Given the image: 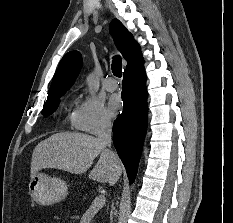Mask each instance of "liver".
<instances>
[{
    "label": "liver",
    "instance_id": "liver-1",
    "mask_svg": "<svg viewBox=\"0 0 233 223\" xmlns=\"http://www.w3.org/2000/svg\"><path fill=\"white\" fill-rule=\"evenodd\" d=\"M98 155L97 163L88 173L89 179L114 185L122 173L121 161L118 155L115 159L110 157L106 145H101L98 137L72 131L54 133L36 145L32 153L30 177L45 167L63 169L68 173H85Z\"/></svg>",
    "mask_w": 233,
    "mask_h": 223
}]
</instances>
